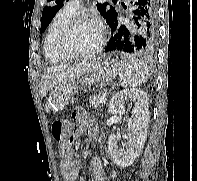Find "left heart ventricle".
Returning a JSON list of instances; mask_svg holds the SVG:
<instances>
[{"instance_id":"1","label":"left heart ventricle","mask_w":197,"mask_h":181,"mask_svg":"<svg viewBox=\"0 0 197 181\" xmlns=\"http://www.w3.org/2000/svg\"><path fill=\"white\" fill-rule=\"evenodd\" d=\"M99 39L98 27L92 22L78 24L69 34L66 48L71 53L89 52Z\"/></svg>"}]
</instances>
